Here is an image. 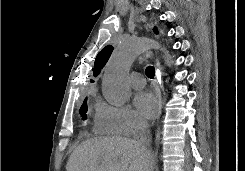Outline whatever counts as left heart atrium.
Here are the masks:
<instances>
[{
	"label": "left heart atrium",
	"instance_id": "left-heart-atrium-1",
	"mask_svg": "<svg viewBox=\"0 0 245 171\" xmlns=\"http://www.w3.org/2000/svg\"><path fill=\"white\" fill-rule=\"evenodd\" d=\"M134 104L137 110L146 118H152L158 110L157 98L147 91L136 94Z\"/></svg>",
	"mask_w": 245,
	"mask_h": 171
}]
</instances>
